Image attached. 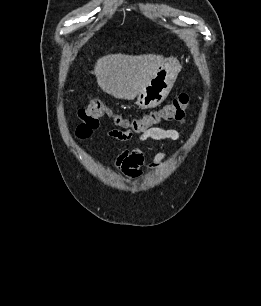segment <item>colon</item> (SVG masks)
<instances>
[{
	"instance_id": "1",
	"label": "colon",
	"mask_w": 261,
	"mask_h": 306,
	"mask_svg": "<svg viewBox=\"0 0 261 306\" xmlns=\"http://www.w3.org/2000/svg\"><path fill=\"white\" fill-rule=\"evenodd\" d=\"M190 101V95L182 93L161 110L127 121L114 114L99 99L91 98L88 106L78 113L80 123L76 128V135L80 139L88 138L92 131L98 128L101 118L109 116L121 127L117 130L119 135L123 138H130L134 134L146 132L162 120H180L183 118L184 111L188 108Z\"/></svg>"
}]
</instances>
